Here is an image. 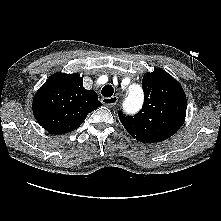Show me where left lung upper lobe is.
I'll use <instances>...</instances> for the list:
<instances>
[{
  "instance_id": "5c2ea615",
  "label": "left lung upper lobe",
  "mask_w": 221,
  "mask_h": 221,
  "mask_svg": "<svg viewBox=\"0 0 221 221\" xmlns=\"http://www.w3.org/2000/svg\"><path fill=\"white\" fill-rule=\"evenodd\" d=\"M145 100L135 116H118L137 141L161 142L171 137L185 120L187 101L181 85L167 72L156 69L142 79Z\"/></svg>"
}]
</instances>
